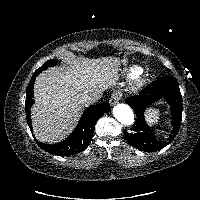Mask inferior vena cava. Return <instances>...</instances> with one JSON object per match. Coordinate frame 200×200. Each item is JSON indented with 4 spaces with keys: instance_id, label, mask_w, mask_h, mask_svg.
<instances>
[{
    "instance_id": "inferior-vena-cava-1",
    "label": "inferior vena cava",
    "mask_w": 200,
    "mask_h": 200,
    "mask_svg": "<svg viewBox=\"0 0 200 200\" xmlns=\"http://www.w3.org/2000/svg\"><path fill=\"white\" fill-rule=\"evenodd\" d=\"M99 97L100 96L98 94H95V93H93V94L85 93L81 98V102H82L83 105H90V104L97 102Z\"/></svg>"
}]
</instances>
